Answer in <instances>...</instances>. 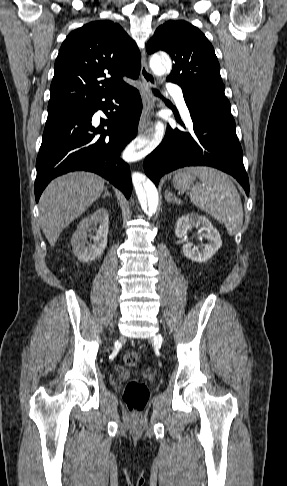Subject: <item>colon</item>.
<instances>
[{"mask_svg": "<svg viewBox=\"0 0 287 486\" xmlns=\"http://www.w3.org/2000/svg\"><path fill=\"white\" fill-rule=\"evenodd\" d=\"M123 360L128 366H136L139 363L140 356L136 351H128L124 354ZM148 398L149 391L144 383L132 380L126 384L123 399L132 414H140L145 408Z\"/></svg>", "mask_w": 287, "mask_h": 486, "instance_id": "1", "label": "colon"}]
</instances>
